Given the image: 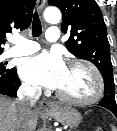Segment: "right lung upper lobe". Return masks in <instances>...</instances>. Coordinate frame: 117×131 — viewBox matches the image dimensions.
Segmentation results:
<instances>
[{"label": "right lung upper lobe", "mask_w": 117, "mask_h": 131, "mask_svg": "<svg viewBox=\"0 0 117 131\" xmlns=\"http://www.w3.org/2000/svg\"><path fill=\"white\" fill-rule=\"evenodd\" d=\"M36 0H0V52L5 44V34L12 29H27L31 24Z\"/></svg>", "instance_id": "1"}]
</instances>
